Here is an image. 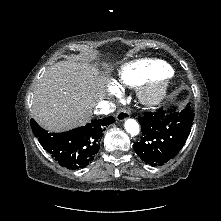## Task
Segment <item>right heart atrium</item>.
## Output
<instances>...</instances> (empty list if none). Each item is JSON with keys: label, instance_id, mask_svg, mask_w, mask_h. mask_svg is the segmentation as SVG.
I'll return each instance as SVG.
<instances>
[{"label": "right heart atrium", "instance_id": "right-heart-atrium-1", "mask_svg": "<svg viewBox=\"0 0 221 221\" xmlns=\"http://www.w3.org/2000/svg\"><path fill=\"white\" fill-rule=\"evenodd\" d=\"M110 91L112 93H116L117 92V88L114 85H112V86H110Z\"/></svg>", "mask_w": 221, "mask_h": 221}]
</instances>
